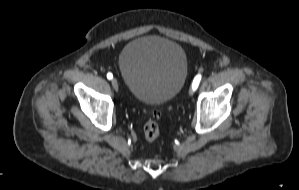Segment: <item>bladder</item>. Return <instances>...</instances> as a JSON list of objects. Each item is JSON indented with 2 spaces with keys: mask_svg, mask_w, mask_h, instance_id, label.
<instances>
[{
  "mask_svg": "<svg viewBox=\"0 0 299 190\" xmlns=\"http://www.w3.org/2000/svg\"><path fill=\"white\" fill-rule=\"evenodd\" d=\"M119 70L136 99L156 105L170 101L180 92L187 78L188 60L178 43L142 36L123 48Z\"/></svg>",
  "mask_w": 299,
  "mask_h": 190,
  "instance_id": "bladder-1",
  "label": "bladder"
}]
</instances>
